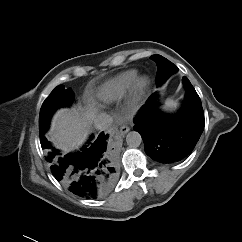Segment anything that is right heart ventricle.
<instances>
[{"label": "right heart ventricle", "mask_w": 242, "mask_h": 242, "mask_svg": "<svg viewBox=\"0 0 242 242\" xmlns=\"http://www.w3.org/2000/svg\"><path fill=\"white\" fill-rule=\"evenodd\" d=\"M136 78V70H127L116 75L100 86L99 98L105 103L119 101L131 89Z\"/></svg>", "instance_id": "right-heart-ventricle-1"}]
</instances>
